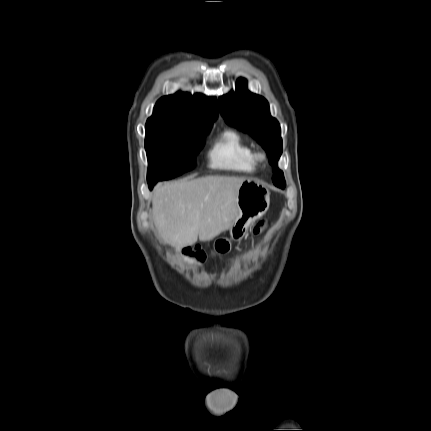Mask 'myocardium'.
<instances>
[{"label":"myocardium","instance_id":"myocardium-1","mask_svg":"<svg viewBox=\"0 0 431 431\" xmlns=\"http://www.w3.org/2000/svg\"><path fill=\"white\" fill-rule=\"evenodd\" d=\"M255 156H256V159L258 161H262V160H264L266 158V155L264 153H262V152L255 153Z\"/></svg>","mask_w":431,"mask_h":431}]
</instances>
